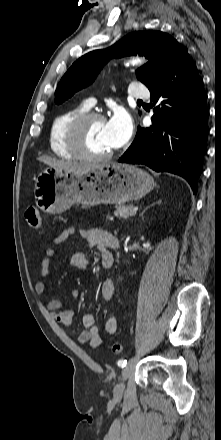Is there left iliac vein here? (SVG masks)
<instances>
[{"mask_svg": "<svg viewBox=\"0 0 221 440\" xmlns=\"http://www.w3.org/2000/svg\"><path fill=\"white\" fill-rule=\"evenodd\" d=\"M133 371V362H129L122 370L121 381L114 387L113 393L115 398H120L124 391V382L130 377Z\"/></svg>", "mask_w": 221, "mask_h": 440, "instance_id": "4c4485c4", "label": "left iliac vein"}]
</instances>
